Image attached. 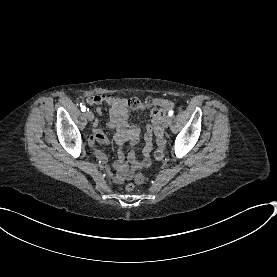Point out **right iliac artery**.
I'll return each instance as SVG.
<instances>
[{
  "instance_id": "obj_1",
  "label": "right iliac artery",
  "mask_w": 277,
  "mask_h": 277,
  "mask_svg": "<svg viewBox=\"0 0 277 277\" xmlns=\"http://www.w3.org/2000/svg\"><path fill=\"white\" fill-rule=\"evenodd\" d=\"M81 110H82L83 112H85V111H86V106H85V105H82V106H81Z\"/></svg>"
}]
</instances>
